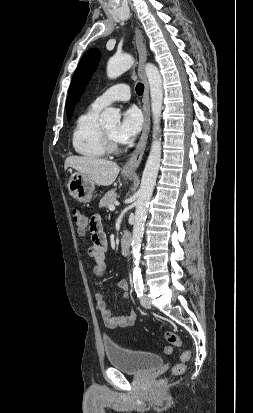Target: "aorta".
Wrapping results in <instances>:
<instances>
[{"mask_svg": "<svg viewBox=\"0 0 253 413\" xmlns=\"http://www.w3.org/2000/svg\"><path fill=\"white\" fill-rule=\"evenodd\" d=\"M133 64L134 59L131 55L124 54L120 56H113L107 63V76L111 79H115L130 69ZM145 74L150 86L151 111L153 118V140L143 171L141 185L138 190V198L136 201L135 221L133 225L131 242V253L135 271L139 270L138 265L140 259V247L143 238L146 213L156 183L162 150L160 137V120L163 108L162 77L158 68L152 63H147L145 65ZM102 118L105 124H116L120 121L121 115L118 109L109 107L102 113Z\"/></svg>", "mask_w": 253, "mask_h": 413, "instance_id": "762f6f07", "label": "aorta"}]
</instances>
